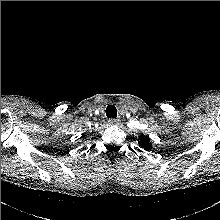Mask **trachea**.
Masks as SVG:
<instances>
[{"label": "trachea", "instance_id": "1", "mask_svg": "<svg viewBox=\"0 0 220 220\" xmlns=\"http://www.w3.org/2000/svg\"><path fill=\"white\" fill-rule=\"evenodd\" d=\"M106 116L108 118H116L117 117V109L114 105H108L106 108Z\"/></svg>", "mask_w": 220, "mask_h": 220}]
</instances>
